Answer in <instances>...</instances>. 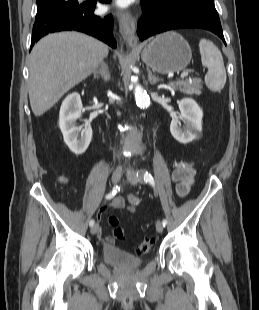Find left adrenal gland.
<instances>
[{
	"label": "left adrenal gland",
	"mask_w": 259,
	"mask_h": 310,
	"mask_svg": "<svg viewBox=\"0 0 259 310\" xmlns=\"http://www.w3.org/2000/svg\"><path fill=\"white\" fill-rule=\"evenodd\" d=\"M147 72H148V82L151 85H155L159 81H162V79H160L159 77H156L155 75H153L149 68H147Z\"/></svg>",
	"instance_id": "1"
}]
</instances>
